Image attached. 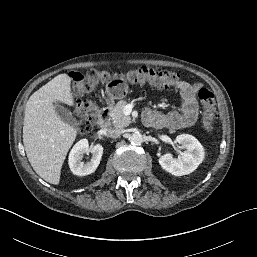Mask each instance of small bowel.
<instances>
[{"label": "small bowel", "instance_id": "small-bowel-1", "mask_svg": "<svg viewBox=\"0 0 257 257\" xmlns=\"http://www.w3.org/2000/svg\"><path fill=\"white\" fill-rule=\"evenodd\" d=\"M175 87L181 96V109L178 111H170L160 113L154 110H146L144 120L148 126L178 129L189 127L196 123L198 118V104L196 94L201 88L199 84H191L186 81H179Z\"/></svg>", "mask_w": 257, "mask_h": 257}]
</instances>
